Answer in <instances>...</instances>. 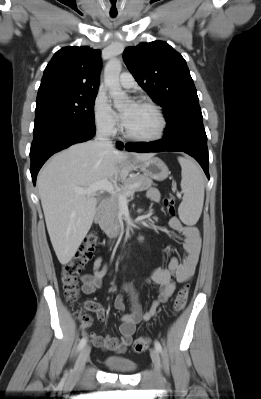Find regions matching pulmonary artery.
Returning a JSON list of instances; mask_svg holds the SVG:
<instances>
[{
	"instance_id": "pulmonary-artery-1",
	"label": "pulmonary artery",
	"mask_w": 261,
	"mask_h": 399,
	"mask_svg": "<svg viewBox=\"0 0 261 399\" xmlns=\"http://www.w3.org/2000/svg\"><path fill=\"white\" fill-rule=\"evenodd\" d=\"M119 82L120 85L125 89L133 88L136 85L134 77L128 72H123L120 75Z\"/></svg>"
}]
</instances>
